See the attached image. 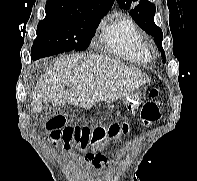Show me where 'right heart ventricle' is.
<instances>
[{
  "label": "right heart ventricle",
  "mask_w": 197,
  "mask_h": 181,
  "mask_svg": "<svg viewBox=\"0 0 197 181\" xmlns=\"http://www.w3.org/2000/svg\"><path fill=\"white\" fill-rule=\"evenodd\" d=\"M100 45L106 53L133 63H146L151 58L138 25L126 15H117L103 22Z\"/></svg>",
  "instance_id": "1"
}]
</instances>
